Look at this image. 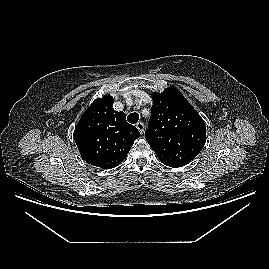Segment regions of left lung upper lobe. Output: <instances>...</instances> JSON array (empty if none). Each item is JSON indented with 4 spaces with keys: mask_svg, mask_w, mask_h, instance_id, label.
<instances>
[{
    "mask_svg": "<svg viewBox=\"0 0 269 269\" xmlns=\"http://www.w3.org/2000/svg\"><path fill=\"white\" fill-rule=\"evenodd\" d=\"M149 128L145 137L160 161L181 167L193 160L204 147L206 126L203 119L174 88L153 93Z\"/></svg>",
    "mask_w": 269,
    "mask_h": 269,
    "instance_id": "obj_1",
    "label": "left lung upper lobe"
}]
</instances>
